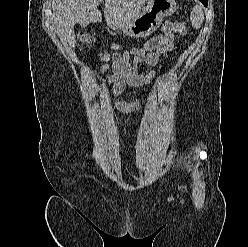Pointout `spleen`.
<instances>
[{
  "mask_svg": "<svg viewBox=\"0 0 248 247\" xmlns=\"http://www.w3.org/2000/svg\"><path fill=\"white\" fill-rule=\"evenodd\" d=\"M190 20L194 28L199 29L201 27L204 21V13L201 6L196 5L193 8L190 14Z\"/></svg>",
  "mask_w": 248,
  "mask_h": 247,
  "instance_id": "obj_1",
  "label": "spleen"
}]
</instances>
